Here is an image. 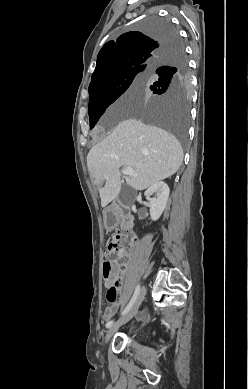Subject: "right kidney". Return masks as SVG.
Instances as JSON below:
<instances>
[{
	"label": "right kidney",
	"instance_id": "right-kidney-1",
	"mask_svg": "<svg viewBox=\"0 0 248 389\" xmlns=\"http://www.w3.org/2000/svg\"><path fill=\"white\" fill-rule=\"evenodd\" d=\"M154 193L156 197L151 199L150 196ZM169 193L170 189L163 181L153 184L145 191L144 195L149 201L150 216L153 221L158 220L162 215L167 204Z\"/></svg>",
	"mask_w": 248,
	"mask_h": 389
}]
</instances>
